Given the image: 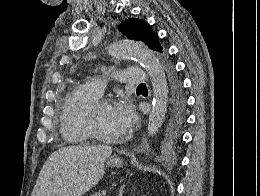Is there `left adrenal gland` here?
<instances>
[{"mask_svg":"<svg viewBox=\"0 0 260 196\" xmlns=\"http://www.w3.org/2000/svg\"><path fill=\"white\" fill-rule=\"evenodd\" d=\"M125 186H121L120 190H119V196H123V190H124Z\"/></svg>","mask_w":260,"mask_h":196,"instance_id":"a2214340","label":"left adrenal gland"}]
</instances>
